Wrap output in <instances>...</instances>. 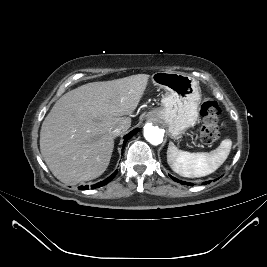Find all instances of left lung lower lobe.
<instances>
[{"instance_id":"left-lung-lower-lobe-1","label":"left lung lower lobe","mask_w":267,"mask_h":267,"mask_svg":"<svg viewBox=\"0 0 267 267\" xmlns=\"http://www.w3.org/2000/svg\"><path fill=\"white\" fill-rule=\"evenodd\" d=\"M170 177H171L174 181H176V182H180L181 184L192 185L191 183L180 181V180H178V179H176V178H174V177H172V176H170ZM207 183H210V181H209V182H204L203 184L205 185V184H207Z\"/></svg>"}]
</instances>
